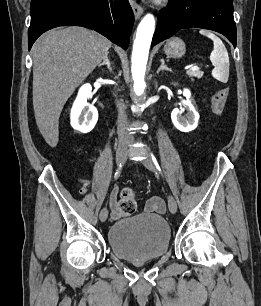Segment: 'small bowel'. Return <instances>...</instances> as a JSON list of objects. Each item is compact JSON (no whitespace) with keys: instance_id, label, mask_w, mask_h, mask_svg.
<instances>
[{"instance_id":"obj_1","label":"small bowel","mask_w":261,"mask_h":306,"mask_svg":"<svg viewBox=\"0 0 261 306\" xmlns=\"http://www.w3.org/2000/svg\"><path fill=\"white\" fill-rule=\"evenodd\" d=\"M86 189L82 188L81 192H85ZM111 209H112V215L114 218H117L121 215V211L118 209L116 197L112 196L110 201ZM146 210L150 212H156V213H164L165 211V203L162 198L160 197H152L147 201L146 204Z\"/></svg>"}]
</instances>
